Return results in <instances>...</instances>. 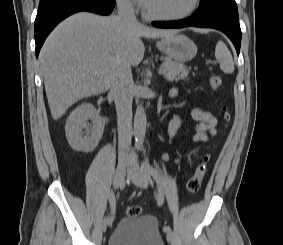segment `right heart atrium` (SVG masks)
<instances>
[{"instance_id": "d8ad5b80", "label": "right heart atrium", "mask_w": 283, "mask_h": 245, "mask_svg": "<svg viewBox=\"0 0 283 245\" xmlns=\"http://www.w3.org/2000/svg\"><path fill=\"white\" fill-rule=\"evenodd\" d=\"M117 3L126 10H132L134 8L133 0H116Z\"/></svg>"}]
</instances>
